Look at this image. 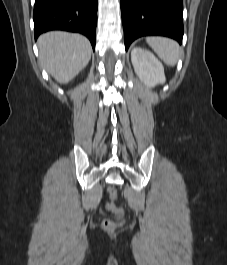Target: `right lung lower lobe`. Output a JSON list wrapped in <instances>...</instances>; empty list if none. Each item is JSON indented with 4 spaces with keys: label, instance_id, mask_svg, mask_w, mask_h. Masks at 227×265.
<instances>
[{
    "label": "right lung lower lobe",
    "instance_id": "obj_1",
    "mask_svg": "<svg viewBox=\"0 0 227 265\" xmlns=\"http://www.w3.org/2000/svg\"><path fill=\"white\" fill-rule=\"evenodd\" d=\"M98 0H35V39L49 30L85 35L95 49Z\"/></svg>",
    "mask_w": 227,
    "mask_h": 265
}]
</instances>
